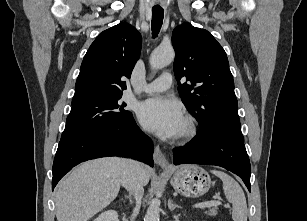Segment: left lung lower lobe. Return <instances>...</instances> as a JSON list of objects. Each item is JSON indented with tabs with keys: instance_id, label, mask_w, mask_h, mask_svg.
<instances>
[{
	"instance_id": "obj_1",
	"label": "left lung lower lobe",
	"mask_w": 307,
	"mask_h": 221,
	"mask_svg": "<svg viewBox=\"0 0 307 221\" xmlns=\"http://www.w3.org/2000/svg\"><path fill=\"white\" fill-rule=\"evenodd\" d=\"M174 164L217 165L237 174L251 191V166L243 141L221 133L201 134L173 149Z\"/></svg>"
}]
</instances>
